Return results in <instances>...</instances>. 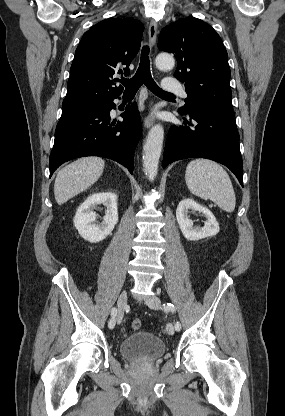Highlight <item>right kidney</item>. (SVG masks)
Wrapping results in <instances>:
<instances>
[{"mask_svg":"<svg viewBox=\"0 0 285 416\" xmlns=\"http://www.w3.org/2000/svg\"><path fill=\"white\" fill-rule=\"evenodd\" d=\"M98 204L106 206V214L101 224H96L94 208ZM118 222L117 196L113 192H99L92 194L83 204H80L74 218V226L80 236L88 242L105 240Z\"/></svg>","mask_w":285,"mask_h":416,"instance_id":"1","label":"right kidney"}]
</instances>
